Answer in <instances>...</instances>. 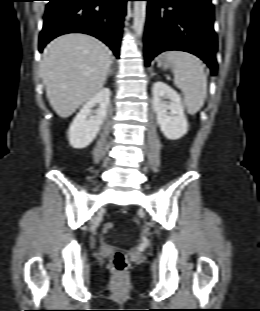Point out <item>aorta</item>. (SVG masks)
<instances>
[{
    "label": "aorta",
    "mask_w": 260,
    "mask_h": 311,
    "mask_svg": "<svg viewBox=\"0 0 260 311\" xmlns=\"http://www.w3.org/2000/svg\"><path fill=\"white\" fill-rule=\"evenodd\" d=\"M146 5V1H134V30L137 37H140L143 33L146 19Z\"/></svg>",
    "instance_id": "obj_1"
}]
</instances>
